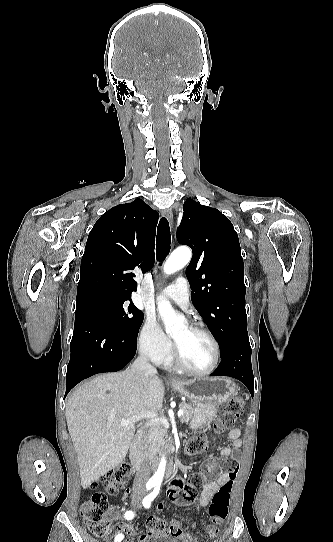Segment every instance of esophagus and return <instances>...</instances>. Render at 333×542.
Segmentation results:
<instances>
[{"label":"esophagus","mask_w":333,"mask_h":542,"mask_svg":"<svg viewBox=\"0 0 333 542\" xmlns=\"http://www.w3.org/2000/svg\"><path fill=\"white\" fill-rule=\"evenodd\" d=\"M163 215L168 219V221L170 223H172V220H173V212L171 210V208H166L162 211ZM170 381L171 383H176V382H179V379H177L176 377H172L170 376Z\"/></svg>","instance_id":"34e87169"}]
</instances>
